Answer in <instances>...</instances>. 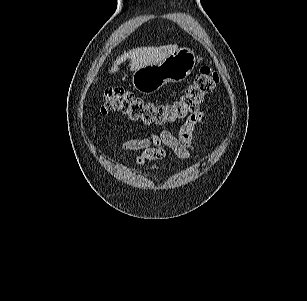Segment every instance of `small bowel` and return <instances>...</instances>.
<instances>
[{
    "label": "small bowel",
    "instance_id": "c3829d8e",
    "mask_svg": "<svg viewBox=\"0 0 307 301\" xmlns=\"http://www.w3.org/2000/svg\"><path fill=\"white\" fill-rule=\"evenodd\" d=\"M205 116V113L198 111L189 117L180 127L178 134L175 136L171 132L164 130L151 136H139L127 139L120 144L122 153L130 151H140L135 159L134 170L139 168L148 161H158L165 157L166 148L171 150L178 158L186 160L190 157L192 146L193 132ZM152 171H158L157 166H153Z\"/></svg>",
    "mask_w": 307,
    "mask_h": 301
}]
</instances>
